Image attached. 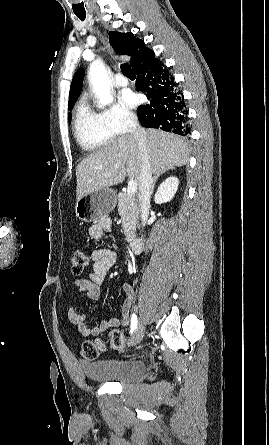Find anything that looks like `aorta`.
Listing matches in <instances>:
<instances>
[{
    "label": "aorta",
    "mask_w": 269,
    "mask_h": 445,
    "mask_svg": "<svg viewBox=\"0 0 269 445\" xmlns=\"http://www.w3.org/2000/svg\"><path fill=\"white\" fill-rule=\"evenodd\" d=\"M89 80L97 96V106L103 108L112 102L109 78L104 65L93 61L89 67Z\"/></svg>",
    "instance_id": "aorta-1"
}]
</instances>
